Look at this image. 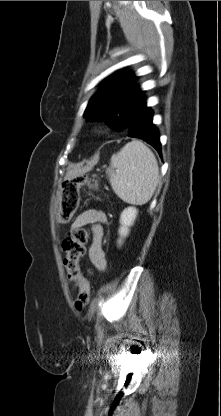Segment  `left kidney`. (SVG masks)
I'll list each match as a JSON object with an SVG mask.
<instances>
[{"label": "left kidney", "instance_id": "obj_1", "mask_svg": "<svg viewBox=\"0 0 221 416\" xmlns=\"http://www.w3.org/2000/svg\"><path fill=\"white\" fill-rule=\"evenodd\" d=\"M138 214V210L135 207H127L125 208L120 216V228H119V235L120 239L118 240V244L121 245L123 239L129 234V228L133 225L136 217Z\"/></svg>", "mask_w": 221, "mask_h": 416}]
</instances>
